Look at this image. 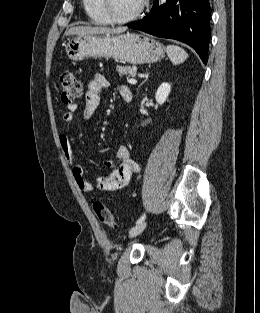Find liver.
Segmentation results:
<instances>
[{"mask_svg": "<svg viewBox=\"0 0 260 313\" xmlns=\"http://www.w3.org/2000/svg\"><path fill=\"white\" fill-rule=\"evenodd\" d=\"M127 28L125 27H117V28H109V27H92V26H77L72 27L66 31V35H77V36H85V35H94V34H120L125 32Z\"/></svg>", "mask_w": 260, "mask_h": 313, "instance_id": "6515ba94", "label": "liver"}]
</instances>
